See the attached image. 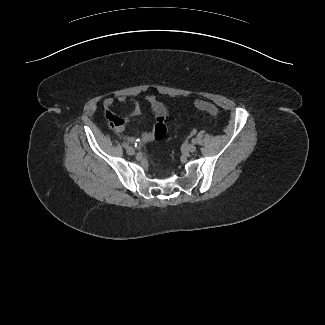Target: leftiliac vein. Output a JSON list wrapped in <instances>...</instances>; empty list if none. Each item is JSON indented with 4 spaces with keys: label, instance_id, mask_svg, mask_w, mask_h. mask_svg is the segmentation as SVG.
Masks as SVG:
<instances>
[{
    "label": "left iliac vein",
    "instance_id": "obj_1",
    "mask_svg": "<svg viewBox=\"0 0 325 325\" xmlns=\"http://www.w3.org/2000/svg\"><path fill=\"white\" fill-rule=\"evenodd\" d=\"M187 149L189 152H195L196 146L194 144H188Z\"/></svg>",
    "mask_w": 325,
    "mask_h": 325
}]
</instances>
